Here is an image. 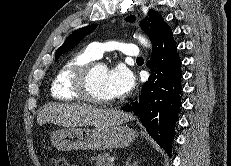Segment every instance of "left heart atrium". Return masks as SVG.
Returning <instances> with one entry per match:
<instances>
[{
  "label": "left heart atrium",
  "instance_id": "obj_1",
  "mask_svg": "<svg viewBox=\"0 0 231 166\" xmlns=\"http://www.w3.org/2000/svg\"><path fill=\"white\" fill-rule=\"evenodd\" d=\"M107 85L113 97L125 96L134 87L135 78L126 66L119 64L108 70Z\"/></svg>",
  "mask_w": 231,
  "mask_h": 166
}]
</instances>
